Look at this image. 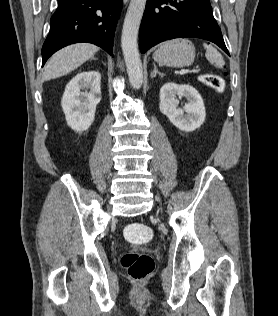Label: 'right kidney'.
I'll list each match as a JSON object with an SVG mask.
<instances>
[{
	"instance_id": "ca27d5eb",
	"label": "right kidney",
	"mask_w": 278,
	"mask_h": 316,
	"mask_svg": "<svg viewBox=\"0 0 278 316\" xmlns=\"http://www.w3.org/2000/svg\"><path fill=\"white\" fill-rule=\"evenodd\" d=\"M100 84L101 74L92 70L78 73L66 85L61 106L73 130L83 132L92 125L96 106L101 101Z\"/></svg>"
}]
</instances>
